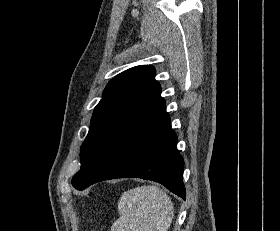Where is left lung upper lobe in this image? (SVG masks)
<instances>
[{
    "instance_id": "1",
    "label": "left lung upper lobe",
    "mask_w": 280,
    "mask_h": 231,
    "mask_svg": "<svg viewBox=\"0 0 280 231\" xmlns=\"http://www.w3.org/2000/svg\"><path fill=\"white\" fill-rule=\"evenodd\" d=\"M151 65L132 67L115 76L95 107L88 135L81 146V169L73 176L78 187L105 145L121 130L148 115L163 102Z\"/></svg>"
}]
</instances>
